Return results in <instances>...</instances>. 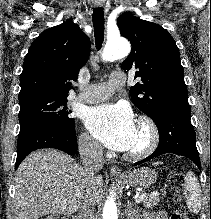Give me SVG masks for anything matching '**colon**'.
I'll return each instance as SVG.
<instances>
[{
  "label": "colon",
  "mask_w": 211,
  "mask_h": 219,
  "mask_svg": "<svg viewBox=\"0 0 211 219\" xmlns=\"http://www.w3.org/2000/svg\"><path fill=\"white\" fill-rule=\"evenodd\" d=\"M184 183L183 175L180 173L173 174L170 179V184L173 189L179 191ZM176 206L174 211L171 215V219H189L186 208L180 203V197H175ZM42 219H71L65 216L54 215V216H47Z\"/></svg>",
  "instance_id": "5ec220e1"
}]
</instances>
